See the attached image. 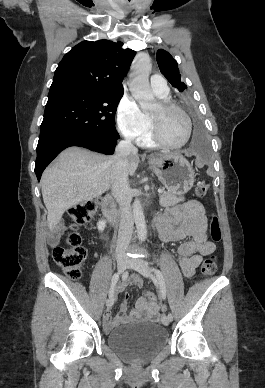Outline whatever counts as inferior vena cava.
Masks as SVG:
<instances>
[{
  "label": "inferior vena cava",
  "mask_w": 265,
  "mask_h": 388,
  "mask_svg": "<svg viewBox=\"0 0 265 388\" xmlns=\"http://www.w3.org/2000/svg\"><path fill=\"white\" fill-rule=\"evenodd\" d=\"M137 154L138 150L129 142L122 140L115 148L113 158V184L112 196L116 198L121 210V220L119 224L118 242L115 256H125V252L130 244L133 234V216L131 210L132 194L129 188V164L128 156Z\"/></svg>",
  "instance_id": "602c4592"
}]
</instances>
